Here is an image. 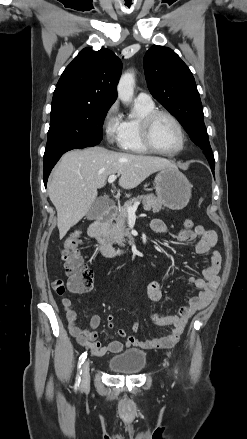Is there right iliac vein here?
I'll use <instances>...</instances> for the list:
<instances>
[{
  "instance_id": "1",
  "label": "right iliac vein",
  "mask_w": 247,
  "mask_h": 439,
  "mask_svg": "<svg viewBox=\"0 0 247 439\" xmlns=\"http://www.w3.org/2000/svg\"><path fill=\"white\" fill-rule=\"evenodd\" d=\"M90 363H89V361H86L84 364H83V367H82V372H81V385H82V387H86L88 384H89V382H90Z\"/></svg>"
}]
</instances>
